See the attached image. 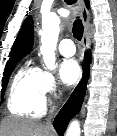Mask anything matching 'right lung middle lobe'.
Instances as JSON below:
<instances>
[{
    "instance_id": "dd1d6c3e",
    "label": "right lung middle lobe",
    "mask_w": 117,
    "mask_h": 136,
    "mask_svg": "<svg viewBox=\"0 0 117 136\" xmlns=\"http://www.w3.org/2000/svg\"><path fill=\"white\" fill-rule=\"evenodd\" d=\"M19 60H21V59H13V60H8L7 61L5 71H4V74H3L4 77L2 79V89H1V97L2 98L4 96L5 89H6V86L8 84V81H9V77H10L12 71L14 70L16 63Z\"/></svg>"
}]
</instances>
